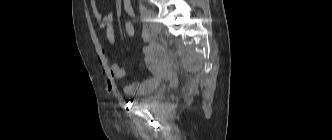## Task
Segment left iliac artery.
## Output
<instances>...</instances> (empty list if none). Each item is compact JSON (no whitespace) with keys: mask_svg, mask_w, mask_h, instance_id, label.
I'll return each instance as SVG.
<instances>
[{"mask_svg":"<svg viewBox=\"0 0 332 140\" xmlns=\"http://www.w3.org/2000/svg\"><path fill=\"white\" fill-rule=\"evenodd\" d=\"M139 9H140V13H141L143 21H148L147 8L145 7V5L143 3L139 4Z\"/></svg>","mask_w":332,"mask_h":140,"instance_id":"1","label":"left iliac artery"}]
</instances>
